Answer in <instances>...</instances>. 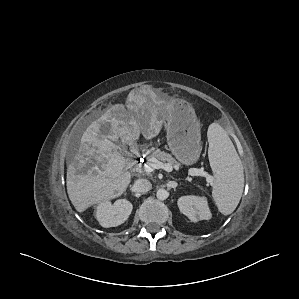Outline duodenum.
<instances>
[{"instance_id":"obj_1","label":"duodenum","mask_w":299,"mask_h":299,"mask_svg":"<svg viewBox=\"0 0 299 299\" xmlns=\"http://www.w3.org/2000/svg\"><path fill=\"white\" fill-rule=\"evenodd\" d=\"M137 159H138V153L136 151H132V153H131V155L128 159V163L129 164H134Z\"/></svg>"}]
</instances>
